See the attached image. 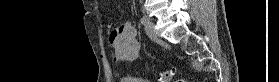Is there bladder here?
I'll list each match as a JSON object with an SVG mask.
<instances>
[{"label":"bladder","mask_w":279,"mask_h":82,"mask_svg":"<svg viewBox=\"0 0 279 82\" xmlns=\"http://www.w3.org/2000/svg\"><path fill=\"white\" fill-rule=\"evenodd\" d=\"M122 82H150V81L141 78L125 77L122 80Z\"/></svg>","instance_id":"obj_1"}]
</instances>
